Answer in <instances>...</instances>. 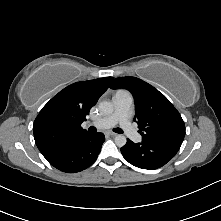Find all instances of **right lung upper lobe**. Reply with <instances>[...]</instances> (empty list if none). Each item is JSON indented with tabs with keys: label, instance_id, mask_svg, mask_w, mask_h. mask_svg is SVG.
Listing matches in <instances>:
<instances>
[{
	"label": "right lung upper lobe",
	"instance_id": "obj_1",
	"mask_svg": "<svg viewBox=\"0 0 221 221\" xmlns=\"http://www.w3.org/2000/svg\"><path fill=\"white\" fill-rule=\"evenodd\" d=\"M113 77L71 84L55 95L39 112L33 124L35 143L50 155L62 142L87 133L81 124L99 97L111 87Z\"/></svg>",
	"mask_w": 221,
	"mask_h": 221
}]
</instances>
